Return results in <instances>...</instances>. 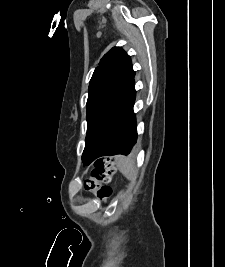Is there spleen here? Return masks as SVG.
<instances>
[{
    "mask_svg": "<svg viewBox=\"0 0 225 267\" xmlns=\"http://www.w3.org/2000/svg\"><path fill=\"white\" fill-rule=\"evenodd\" d=\"M115 163L119 171L129 180L135 181L137 174L135 171L134 162L131 158L124 156H117L115 158Z\"/></svg>",
    "mask_w": 225,
    "mask_h": 267,
    "instance_id": "obj_1",
    "label": "spleen"
}]
</instances>
